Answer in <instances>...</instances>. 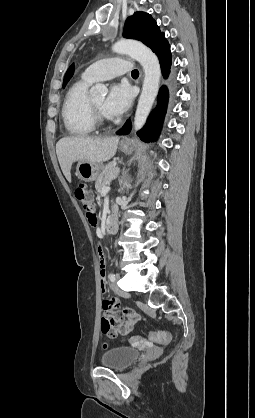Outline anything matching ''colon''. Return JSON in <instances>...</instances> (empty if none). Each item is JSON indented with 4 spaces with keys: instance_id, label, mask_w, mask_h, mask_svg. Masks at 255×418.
I'll use <instances>...</instances> for the list:
<instances>
[{
    "instance_id": "obj_1",
    "label": "colon",
    "mask_w": 255,
    "mask_h": 418,
    "mask_svg": "<svg viewBox=\"0 0 255 418\" xmlns=\"http://www.w3.org/2000/svg\"><path fill=\"white\" fill-rule=\"evenodd\" d=\"M75 197L82 206L89 223L92 226H95L97 224V217L95 213V205L93 203L90 190L84 184H79L75 188ZM149 338L154 342L162 344L169 343L171 339L170 334L165 331L150 332ZM107 347L108 345L105 343L104 348Z\"/></svg>"
}]
</instances>
